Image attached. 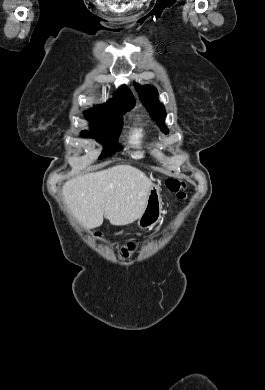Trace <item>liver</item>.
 <instances>
[{
  "instance_id": "obj_1",
  "label": "liver",
  "mask_w": 265,
  "mask_h": 390,
  "mask_svg": "<svg viewBox=\"0 0 265 390\" xmlns=\"http://www.w3.org/2000/svg\"><path fill=\"white\" fill-rule=\"evenodd\" d=\"M152 185L144 172L122 164L67 181L62 195L68 209L86 228L101 226L103 216L112 225L123 226L141 216Z\"/></svg>"
}]
</instances>
